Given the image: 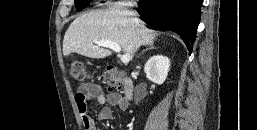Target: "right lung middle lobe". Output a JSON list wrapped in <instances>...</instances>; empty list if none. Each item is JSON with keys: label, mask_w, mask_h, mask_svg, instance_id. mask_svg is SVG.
<instances>
[{"label": "right lung middle lobe", "mask_w": 257, "mask_h": 130, "mask_svg": "<svg viewBox=\"0 0 257 130\" xmlns=\"http://www.w3.org/2000/svg\"><path fill=\"white\" fill-rule=\"evenodd\" d=\"M91 0H75V7L80 10L84 7H87Z\"/></svg>", "instance_id": "obj_1"}]
</instances>
